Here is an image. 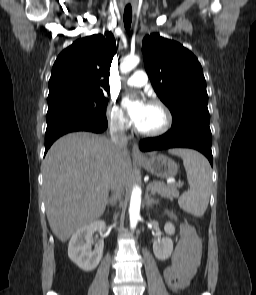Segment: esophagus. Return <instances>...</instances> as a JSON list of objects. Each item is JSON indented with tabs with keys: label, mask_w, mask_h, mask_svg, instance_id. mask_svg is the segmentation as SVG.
Wrapping results in <instances>:
<instances>
[{
	"label": "esophagus",
	"mask_w": 256,
	"mask_h": 295,
	"mask_svg": "<svg viewBox=\"0 0 256 295\" xmlns=\"http://www.w3.org/2000/svg\"><path fill=\"white\" fill-rule=\"evenodd\" d=\"M132 155L133 157H136V158H143V155L139 151V148L136 143H133L132 145Z\"/></svg>",
	"instance_id": "obj_1"
}]
</instances>
